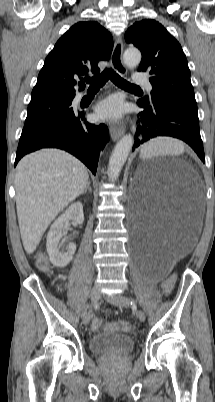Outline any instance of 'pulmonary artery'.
Masks as SVG:
<instances>
[{
	"label": "pulmonary artery",
	"instance_id": "e3ab8cb5",
	"mask_svg": "<svg viewBox=\"0 0 215 402\" xmlns=\"http://www.w3.org/2000/svg\"><path fill=\"white\" fill-rule=\"evenodd\" d=\"M133 83L145 85L148 90L152 89V86H151L149 80L147 79V77L141 73H136L133 76ZM82 96H83V93H79L77 95V99H80Z\"/></svg>",
	"mask_w": 215,
	"mask_h": 402
}]
</instances>
